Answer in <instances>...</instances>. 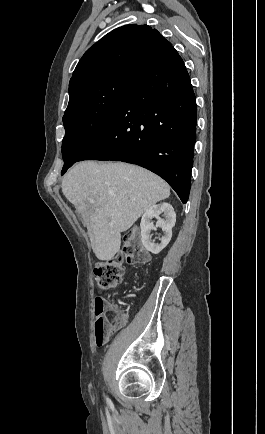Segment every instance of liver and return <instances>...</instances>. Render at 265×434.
I'll return each mask as SVG.
<instances>
[{
	"label": "liver",
	"mask_w": 265,
	"mask_h": 434,
	"mask_svg": "<svg viewBox=\"0 0 265 434\" xmlns=\"http://www.w3.org/2000/svg\"><path fill=\"white\" fill-rule=\"evenodd\" d=\"M62 192L81 214L98 260H112L120 250L121 232L170 196L159 176L123 162H80L65 174Z\"/></svg>",
	"instance_id": "liver-1"
}]
</instances>
